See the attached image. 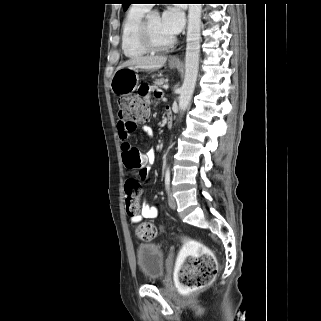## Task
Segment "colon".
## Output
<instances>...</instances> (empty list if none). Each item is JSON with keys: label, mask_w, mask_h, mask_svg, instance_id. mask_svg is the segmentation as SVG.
Listing matches in <instances>:
<instances>
[{"label": "colon", "mask_w": 321, "mask_h": 321, "mask_svg": "<svg viewBox=\"0 0 321 321\" xmlns=\"http://www.w3.org/2000/svg\"><path fill=\"white\" fill-rule=\"evenodd\" d=\"M118 117L124 125L135 130L139 124L147 121L149 108L143 103V99L136 95L124 96L118 101ZM145 165L139 151L131 153L125 166L128 169H141ZM141 186L135 179H128L125 183L126 210L130 216L135 215L140 208ZM135 234L141 240H152L157 235L155 226L145 222L135 228ZM183 253L177 267V280L183 290L191 291L201 289L210 284L218 270L216 258L212 251L201 242L188 238H182Z\"/></svg>", "instance_id": "5ec220e1"}]
</instances>
